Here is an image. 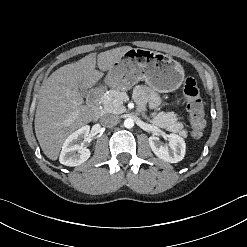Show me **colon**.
<instances>
[{
    "instance_id": "obj_1",
    "label": "colon",
    "mask_w": 247,
    "mask_h": 247,
    "mask_svg": "<svg viewBox=\"0 0 247 247\" xmlns=\"http://www.w3.org/2000/svg\"><path fill=\"white\" fill-rule=\"evenodd\" d=\"M183 95L190 115L191 132L195 138H200L206 128L203 100L194 78L187 77L183 83Z\"/></svg>"
}]
</instances>
